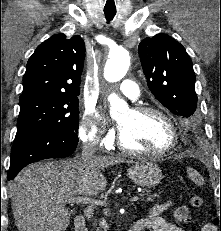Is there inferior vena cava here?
<instances>
[{"instance_id": "obj_1", "label": "inferior vena cava", "mask_w": 221, "mask_h": 231, "mask_svg": "<svg viewBox=\"0 0 221 231\" xmlns=\"http://www.w3.org/2000/svg\"><path fill=\"white\" fill-rule=\"evenodd\" d=\"M97 149V144L96 142H92V143H87L83 146L82 149V154H81V160L83 162H89L90 160H92L95 156V152Z\"/></svg>"}]
</instances>
